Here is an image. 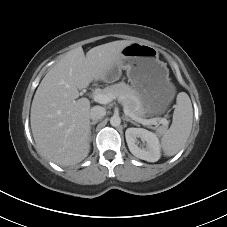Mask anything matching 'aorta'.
I'll use <instances>...</instances> for the list:
<instances>
[{"instance_id":"762f6f07","label":"aorta","mask_w":227,"mask_h":227,"mask_svg":"<svg viewBox=\"0 0 227 227\" xmlns=\"http://www.w3.org/2000/svg\"><path fill=\"white\" fill-rule=\"evenodd\" d=\"M121 123V119L119 116L117 115H113L110 119V124L113 126V127H117L119 126Z\"/></svg>"}]
</instances>
